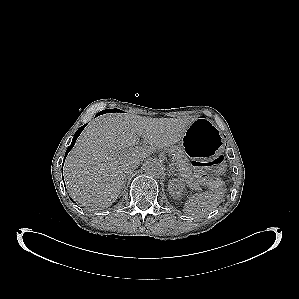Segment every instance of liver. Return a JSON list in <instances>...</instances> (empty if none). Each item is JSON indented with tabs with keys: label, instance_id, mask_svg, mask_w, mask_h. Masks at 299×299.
I'll use <instances>...</instances> for the list:
<instances>
[{
	"label": "liver",
	"instance_id": "obj_1",
	"mask_svg": "<svg viewBox=\"0 0 299 299\" xmlns=\"http://www.w3.org/2000/svg\"><path fill=\"white\" fill-rule=\"evenodd\" d=\"M193 121L128 113L100 116L89 124L66 158L64 177L68 193L81 206L103 209L112 205L130 164H140L153 152L178 143ZM140 137L149 146H135ZM119 152H123L120 157Z\"/></svg>",
	"mask_w": 299,
	"mask_h": 299
}]
</instances>
